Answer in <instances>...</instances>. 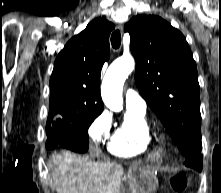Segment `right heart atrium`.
I'll list each match as a JSON object with an SVG mask.
<instances>
[{"mask_svg": "<svg viewBox=\"0 0 221 193\" xmlns=\"http://www.w3.org/2000/svg\"><path fill=\"white\" fill-rule=\"evenodd\" d=\"M112 129V116L107 111H102L91 123L89 135L95 144H101L108 140Z\"/></svg>", "mask_w": 221, "mask_h": 193, "instance_id": "d8ad5b80", "label": "right heart atrium"}]
</instances>
